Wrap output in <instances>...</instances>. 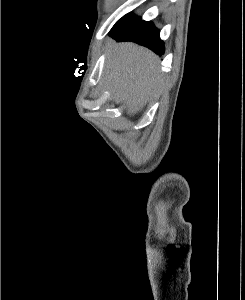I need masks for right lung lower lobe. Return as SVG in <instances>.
<instances>
[{
	"instance_id": "right-lung-lower-lobe-1",
	"label": "right lung lower lobe",
	"mask_w": 245,
	"mask_h": 300,
	"mask_svg": "<svg viewBox=\"0 0 245 300\" xmlns=\"http://www.w3.org/2000/svg\"><path fill=\"white\" fill-rule=\"evenodd\" d=\"M117 41H133L140 45L146 46L156 54L164 53V44L160 39L159 30L149 21L140 20L124 32L112 35Z\"/></svg>"
}]
</instances>
